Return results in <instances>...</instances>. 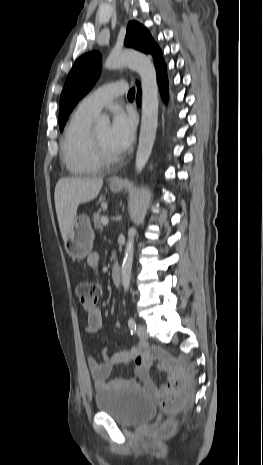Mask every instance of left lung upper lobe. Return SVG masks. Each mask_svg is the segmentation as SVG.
<instances>
[{
	"instance_id": "5c2ea615",
	"label": "left lung upper lobe",
	"mask_w": 263,
	"mask_h": 465,
	"mask_svg": "<svg viewBox=\"0 0 263 465\" xmlns=\"http://www.w3.org/2000/svg\"><path fill=\"white\" fill-rule=\"evenodd\" d=\"M125 45L146 54L158 48L150 32L136 21L129 22L125 37ZM101 56L98 52H90L79 57L67 79L60 97L59 127L63 129L72 109L95 84L99 76Z\"/></svg>"
}]
</instances>
